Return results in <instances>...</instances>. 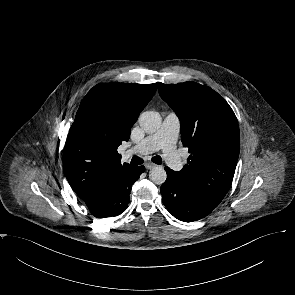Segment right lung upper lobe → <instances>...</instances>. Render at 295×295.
<instances>
[{
    "label": "right lung upper lobe",
    "instance_id": "right-lung-upper-lobe-1",
    "mask_svg": "<svg viewBox=\"0 0 295 295\" xmlns=\"http://www.w3.org/2000/svg\"><path fill=\"white\" fill-rule=\"evenodd\" d=\"M111 93L114 116L99 123L90 122L81 102L64 148V174L75 193L83 200L100 180L130 167L121 164L117 148L128 141L130 129L139 113L156 92L158 83H101Z\"/></svg>",
    "mask_w": 295,
    "mask_h": 295
}]
</instances>
